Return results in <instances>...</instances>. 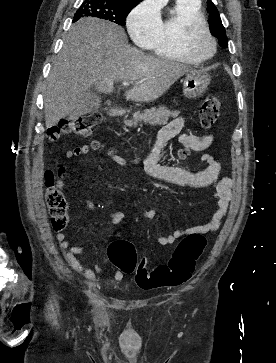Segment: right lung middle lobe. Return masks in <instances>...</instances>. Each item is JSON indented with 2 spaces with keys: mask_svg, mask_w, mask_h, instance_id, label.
<instances>
[{
  "mask_svg": "<svg viewBox=\"0 0 276 363\" xmlns=\"http://www.w3.org/2000/svg\"><path fill=\"white\" fill-rule=\"evenodd\" d=\"M135 3L114 0H85L74 15L73 22L83 17H96L124 26Z\"/></svg>",
  "mask_w": 276,
  "mask_h": 363,
  "instance_id": "right-lung-middle-lobe-1",
  "label": "right lung middle lobe"
}]
</instances>
